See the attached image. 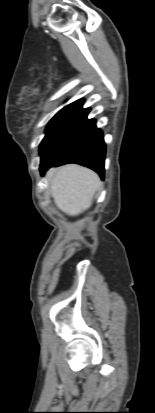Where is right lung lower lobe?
Instances as JSON below:
<instances>
[{
    "label": "right lung lower lobe",
    "instance_id": "98d812e1",
    "mask_svg": "<svg viewBox=\"0 0 155 413\" xmlns=\"http://www.w3.org/2000/svg\"><path fill=\"white\" fill-rule=\"evenodd\" d=\"M90 109L78 108L69 128L61 141L41 162L40 171L43 175L52 166L67 163H77L96 171L104 178V160L106 145L103 134L95 125L94 119H87Z\"/></svg>",
    "mask_w": 155,
    "mask_h": 413
}]
</instances>
